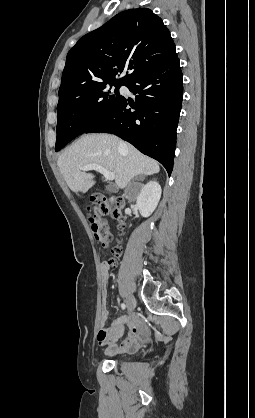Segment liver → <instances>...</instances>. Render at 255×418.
<instances>
[{"mask_svg":"<svg viewBox=\"0 0 255 418\" xmlns=\"http://www.w3.org/2000/svg\"><path fill=\"white\" fill-rule=\"evenodd\" d=\"M57 164L68 187L75 193H85L95 184V175L80 169L88 164H98L113 172L120 189L137 175H153L160 171L157 161L110 134L82 136L60 155Z\"/></svg>","mask_w":255,"mask_h":418,"instance_id":"obj_1","label":"liver"}]
</instances>
